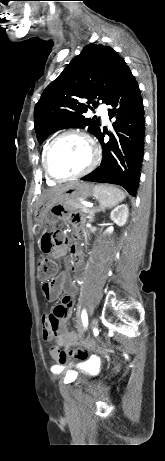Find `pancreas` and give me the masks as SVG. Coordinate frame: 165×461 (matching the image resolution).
<instances>
[{
  "label": "pancreas",
  "instance_id": "1",
  "mask_svg": "<svg viewBox=\"0 0 165 461\" xmlns=\"http://www.w3.org/2000/svg\"><path fill=\"white\" fill-rule=\"evenodd\" d=\"M64 207L66 210H69L70 212H76V211H86L84 210V206L78 199H67L64 203Z\"/></svg>",
  "mask_w": 165,
  "mask_h": 461
}]
</instances>
